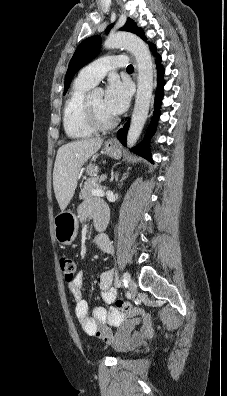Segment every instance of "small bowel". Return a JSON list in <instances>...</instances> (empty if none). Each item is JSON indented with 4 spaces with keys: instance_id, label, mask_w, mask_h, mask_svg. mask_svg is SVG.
I'll return each instance as SVG.
<instances>
[{
    "instance_id": "small-bowel-1",
    "label": "small bowel",
    "mask_w": 227,
    "mask_h": 396,
    "mask_svg": "<svg viewBox=\"0 0 227 396\" xmlns=\"http://www.w3.org/2000/svg\"><path fill=\"white\" fill-rule=\"evenodd\" d=\"M78 213L83 220L93 217L96 221L102 215L108 216V209L101 200L95 199L84 202ZM94 246L105 252L113 250L112 243L105 234L95 238ZM99 286L100 298L108 307H96L89 314L88 303L83 297L84 273L80 271L68 285L75 301V315L85 333L118 347L137 344L153 335L152 322L147 314L126 304L122 308L115 307L118 283L112 270L101 273ZM137 326L139 329H136ZM110 327H118L117 332L111 333Z\"/></svg>"
}]
</instances>
